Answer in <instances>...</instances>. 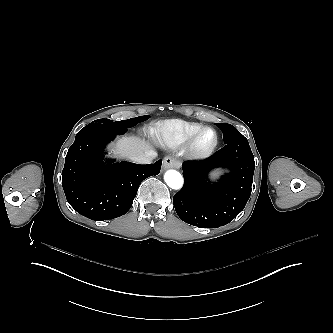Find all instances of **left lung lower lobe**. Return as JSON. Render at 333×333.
Here are the masks:
<instances>
[{
  "instance_id": "left-lung-lower-lobe-1",
  "label": "left lung lower lobe",
  "mask_w": 333,
  "mask_h": 333,
  "mask_svg": "<svg viewBox=\"0 0 333 333\" xmlns=\"http://www.w3.org/2000/svg\"><path fill=\"white\" fill-rule=\"evenodd\" d=\"M227 168L216 182L208 173L215 168ZM184 185L173 197L178 216L186 223L217 228L231 222L245 207L250 194L255 169L254 156L245 137L234 139L209 158L182 165Z\"/></svg>"
}]
</instances>
